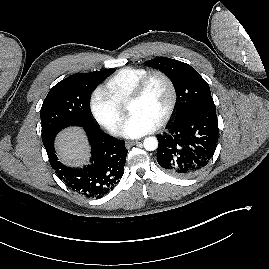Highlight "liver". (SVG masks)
Masks as SVG:
<instances>
[{
	"label": "liver",
	"instance_id": "liver-1",
	"mask_svg": "<svg viewBox=\"0 0 269 269\" xmlns=\"http://www.w3.org/2000/svg\"><path fill=\"white\" fill-rule=\"evenodd\" d=\"M56 147L65 164L81 166L88 158L85 134L80 128H68L58 135Z\"/></svg>",
	"mask_w": 269,
	"mask_h": 269
}]
</instances>
